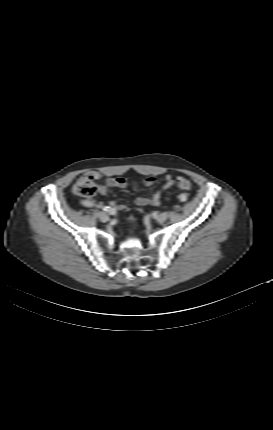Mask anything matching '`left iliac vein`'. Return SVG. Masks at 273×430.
Returning <instances> with one entry per match:
<instances>
[{"label": "left iliac vein", "instance_id": "obj_1", "mask_svg": "<svg viewBox=\"0 0 273 430\" xmlns=\"http://www.w3.org/2000/svg\"><path fill=\"white\" fill-rule=\"evenodd\" d=\"M155 218H156V220H157V221H159V222H164V221H166V220H167V218H168V213L163 212V213H161V214H158Z\"/></svg>", "mask_w": 273, "mask_h": 430}]
</instances>
